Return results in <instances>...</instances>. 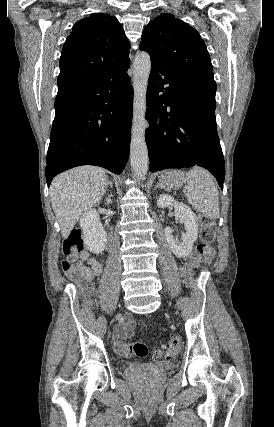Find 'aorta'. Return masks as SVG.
Instances as JSON below:
<instances>
[{"label":"aorta","mask_w":274,"mask_h":427,"mask_svg":"<svg viewBox=\"0 0 274 427\" xmlns=\"http://www.w3.org/2000/svg\"><path fill=\"white\" fill-rule=\"evenodd\" d=\"M150 70V55L147 52L137 53L133 62L134 102L130 143L131 169L137 180L145 179L148 171V149L145 141L148 122L145 119V113Z\"/></svg>","instance_id":"1"}]
</instances>
